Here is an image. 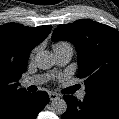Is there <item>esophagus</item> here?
Returning a JSON list of instances; mask_svg holds the SVG:
<instances>
[{"mask_svg":"<svg viewBox=\"0 0 119 119\" xmlns=\"http://www.w3.org/2000/svg\"><path fill=\"white\" fill-rule=\"evenodd\" d=\"M49 98L51 101L56 100L59 98V95L57 93L51 92L49 93Z\"/></svg>","mask_w":119,"mask_h":119,"instance_id":"obj_1","label":"esophagus"}]
</instances>
